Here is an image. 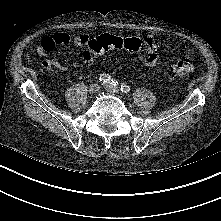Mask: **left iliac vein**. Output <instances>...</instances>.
<instances>
[{
  "instance_id": "left-iliac-vein-1",
  "label": "left iliac vein",
  "mask_w": 221,
  "mask_h": 221,
  "mask_svg": "<svg viewBox=\"0 0 221 221\" xmlns=\"http://www.w3.org/2000/svg\"><path fill=\"white\" fill-rule=\"evenodd\" d=\"M104 87L108 92H111V93H118L119 92V89L117 87L113 86L112 84H106V85H104Z\"/></svg>"
}]
</instances>
